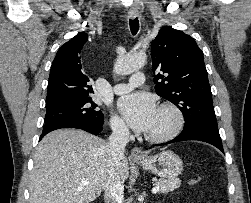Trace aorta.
Returning <instances> with one entry per match:
<instances>
[{"label":"aorta","mask_w":251,"mask_h":203,"mask_svg":"<svg viewBox=\"0 0 251 203\" xmlns=\"http://www.w3.org/2000/svg\"><path fill=\"white\" fill-rule=\"evenodd\" d=\"M145 63L146 55L144 53H136L118 59L114 65V71L118 75H128L142 68Z\"/></svg>","instance_id":"762f6f07"}]
</instances>
